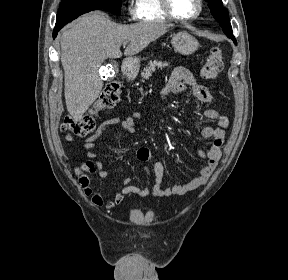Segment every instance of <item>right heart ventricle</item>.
Returning <instances> with one entry per match:
<instances>
[{
    "label": "right heart ventricle",
    "instance_id": "right-heart-ventricle-1",
    "mask_svg": "<svg viewBox=\"0 0 288 280\" xmlns=\"http://www.w3.org/2000/svg\"><path fill=\"white\" fill-rule=\"evenodd\" d=\"M136 18L142 22H167L169 18L164 14L160 0H137Z\"/></svg>",
    "mask_w": 288,
    "mask_h": 280
}]
</instances>
